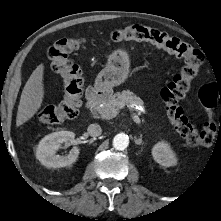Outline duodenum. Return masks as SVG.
Here are the masks:
<instances>
[{"label": "duodenum", "mask_w": 221, "mask_h": 221, "mask_svg": "<svg viewBox=\"0 0 221 221\" xmlns=\"http://www.w3.org/2000/svg\"><path fill=\"white\" fill-rule=\"evenodd\" d=\"M108 96V92L104 88H91L87 91L86 99L88 108H95Z\"/></svg>", "instance_id": "410a0bca"}]
</instances>
